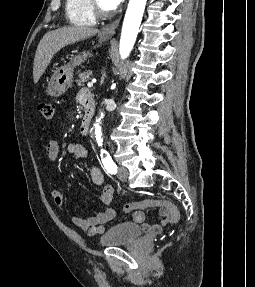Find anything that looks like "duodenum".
Returning <instances> with one entry per match:
<instances>
[{
  "instance_id": "1",
  "label": "duodenum",
  "mask_w": 255,
  "mask_h": 287,
  "mask_svg": "<svg viewBox=\"0 0 255 287\" xmlns=\"http://www.w3.org/2000/svg\"><path fill=\"white\" fill-rule=\"evenodd\" d=\"M79 100L84 106V115L80 123L79 131L81 135H87L94 115L95 104L89 91L83 90L79 93Z\"/></svg>"
}]
</instances>
